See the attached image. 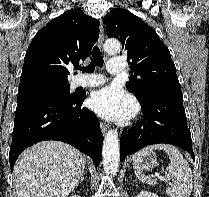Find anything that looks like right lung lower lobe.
Segmentation results:
<instances>
[{
	"label": "right lung lower lobe",
	"instance_id": "1",
	"mask_svg": "<svg viewBox=\"0 0 209 197\" xmlns=\"http://www.w3.org/2000/svg\"><path fill=\"white\" fill-rule=\"evenodd\" d=\"M85 93L49 98L17 106L9 160L11 170L27 147L44 140H59L101 160L103 135L95 114L82 106Z\"/></svg>",
	"mask_w": 209,
	"mask_h": 197
}]
</instances>
